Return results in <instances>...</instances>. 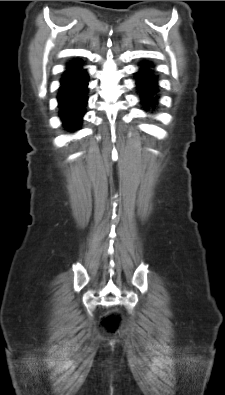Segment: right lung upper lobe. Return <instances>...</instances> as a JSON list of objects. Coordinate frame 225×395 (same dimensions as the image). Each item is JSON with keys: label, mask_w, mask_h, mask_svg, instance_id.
Segmentation results:
<instances>
[{"label": "right lung upper lobe", "mask_w": 225, "mask_h": 395, "mask_svg": "<svg viewBox=\"0 0 225 395\" xmlns=\"http://www.w3.org/2000/svg\"><path fill=\"white\" fill-rule=\"evenodd\" d=\"M83 64V61L79 59L72 60L71 62L67 63V67L76 66Z\"/></svg>", "instance_id": "cb5924a9"}]
</instances>
